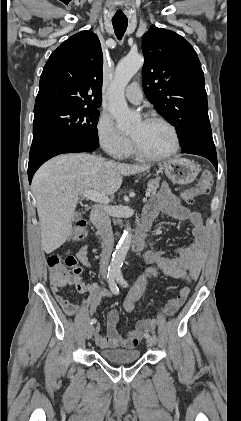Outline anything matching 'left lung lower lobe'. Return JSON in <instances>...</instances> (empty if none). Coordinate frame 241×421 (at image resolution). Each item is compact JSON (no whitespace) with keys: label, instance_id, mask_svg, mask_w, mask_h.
Wrapping results in <instances>:
<instances>
[{"label":"left lung lower lobe","instance_id":"0a47b994","mask_svg":"<svg viewBox=\"0 0 241 421\" xmlns=\"http://www.w3.org/2000/svg\"><path fill=\"white\" fill-rule=\"evenodd\" d=\"M182 153L203 156L212 162L216 170L218 169L217 154L212 136L201 138L188 148L182 149Z\"/></svg>","mask_w":241,"mask_h":421}]
</instances>
